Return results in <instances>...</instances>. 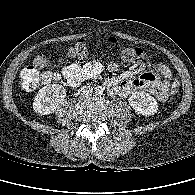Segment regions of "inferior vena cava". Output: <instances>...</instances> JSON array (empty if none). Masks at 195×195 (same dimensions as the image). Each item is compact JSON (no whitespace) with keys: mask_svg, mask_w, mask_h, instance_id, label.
Instances as JSON below:
<instances>
[{"mask_svg":"<svg viewBox=\"0 0 195 195\" xmlns=\"http://www.w3.org/2000/svg\"><path fill=\"white\" fill-rule=\"evenodd\" d=\"M80 92L82 96H90L93 92V89L90 86H83L81 87Z\"/></svg>","mask_w":195,"mask_h":195,"instance_id":"602c4592","label":"inferior vena cava"}]
</instances>
